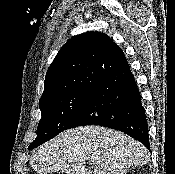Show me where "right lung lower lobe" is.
<instances>
[{
    "instance_id": "obj_1",
    "label": "right lung lower lobe",
    "mask_w": 175,
    "mask_h": 174,
    "mask_svg": "<svg viewBox=\"0 0 175 174\" xmlns=\"http://www.w3.org/2000/svg\"><path fill=\"white\" fill-rule=\"evenodd\" d=\"M84 125H99L122 131L150 150L145 110L128 64L92 88L67 129Z\"/></svg>"
}]
</instances>
